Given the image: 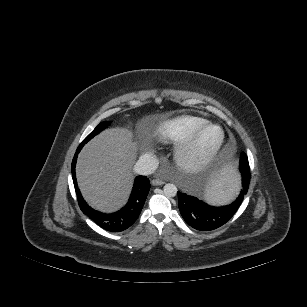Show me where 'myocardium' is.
Wrapping results in <instances>:
<instances>
[{"instance_id":"obj_1","label":"myocardium","mask_w":307,"mask_h":307,"mask_svg":"<svg viewBox=\"0 0 307 307\" xmlns=\"http://www.w3.org/2000/svg\"><path fill=\"white\" fill-rule=\"evenodd\" d=\"M209 129H216L219 137L214 145L204 153H197L198 142ZM224 132L216 124L207 123L194 131L186 140L181 142L175 151L176 163L188 172H198L206 168L217 156L224 143Z\"/></svg>"}]
</instances>
